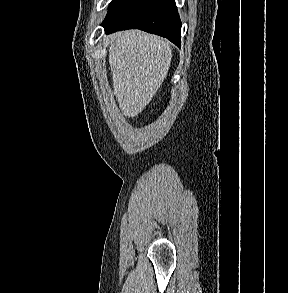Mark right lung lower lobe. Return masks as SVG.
<instances>
[{
    "instance_id": "98d812e1",
    "label": "right lung lower lobe",
    "mask_w": 288,
    "mask_h": 293,
    "mask_svg": "<svg viewBox=\"0 0 288 293\" xmlns=\"http://www.w3.org/2000/svg\"><path fill=\"white\" fill-rule=\"evenodd\" d=\"M102 26L107 34L141 29L166 37L181 47V21L175 0H130Z\"/></svg>"
}]
</instances>
